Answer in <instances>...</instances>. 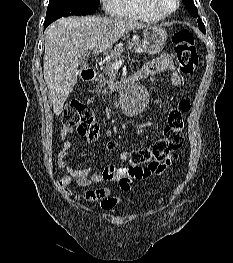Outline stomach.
I'll list each match as a JSON object with an SVG mask.
<instances>
[{
  "mask_svg": "<svg viewBox=\"0 0 233 263\" xmlns=\"http://www.w3.org/2000/svg\"><path fill=\"white\" fill-rule=\"evenodd\" d=\"M167 40V32L158 26L147 27L143 31L142 47L148 54L154 55L159 53Z\"/></svg>",
  "mask_w": 233,
  "mask_h": 263,
  "instance_id": "obj_1",
  "label": "stomach"
}]
</instances>
